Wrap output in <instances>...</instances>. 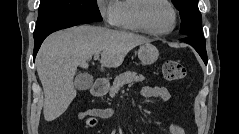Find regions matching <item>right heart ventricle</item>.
<instances>
[{"label": "right heart ventricle", "mask_w": 239, "mask_h": 134, "mask_svg": "<svg viewBox=\"0 0 239 134\" xmlns=\"http://www.w3.org/2000/svg\"><path fill=\"white\" fill-rule=\"evenodd\" d=\"M140 0L117 1L118 16L116 26L124 31L143 32L136 20V9Z\"/></svg>", "instance_id": "e07e8e85"}]
</instances>
